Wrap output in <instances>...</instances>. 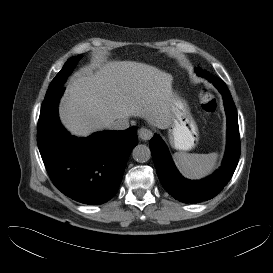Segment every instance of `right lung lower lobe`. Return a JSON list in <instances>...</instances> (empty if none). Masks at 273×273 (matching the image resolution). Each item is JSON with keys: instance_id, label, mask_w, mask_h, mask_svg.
I'll use <instances>...</instances> for the list:
<instances>
[{"instance_id": "obj_1", "label": "right lung lower lobe", "mask_w": 273, "mask_h": 273, "mask_svg": "<svg viewBox=\"0 0 273 273\" xmlns=\"http://www.w3.org/2000/svg\"><path fill=\"white\" fill-rule=\"evenodd\" d=\"M64 87L41 106L37 142L46 170L54 185L80 203L100 205L117 192L137 129L103 131L88 138L71 136L61 125L58 103Z\"/></svg>"}]
</instances>
